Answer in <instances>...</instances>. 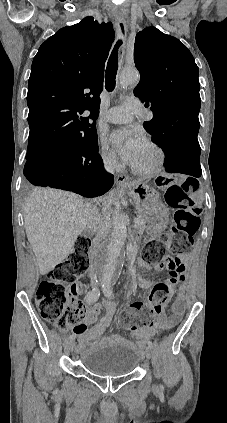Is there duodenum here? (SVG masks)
<instances>
[{
    "mask_svg": "<svg viewBox=\"0 0 227 423\" xmlns=\"http://www.w3.org/2000/svg\"><path fill=\"white\" fill-rule=\"evenodd\" d=\"M127 254L130 255L132 258L135 257V250L133 247H129L127 250Z\"/></svg>",
    "mask_w": 227,
    "mask_h": 423,
    "instance_id": "410a0bca",
    "label": "duodenum"
}]
</instances>
